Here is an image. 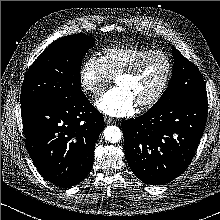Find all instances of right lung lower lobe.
I'll use <instances>...</instances> for the list:
<instances>
[{
    "label": "right lung lower lobe",
    "instance_id": "1",
    "mask_svg": "<svg viewBox=\"0 0 220 220\" xmlns=\"http://www.w3.org/2000/svg\"><path fill=\"white\" fill-rule=\"evenodd\" d=\"M21 115L27 150L42 177L63 188L84 180L104 128L86 96L21 105Z\"/></svg>",
    "mask_w": 220,
    "mask_h": 220
}]
</instances>
